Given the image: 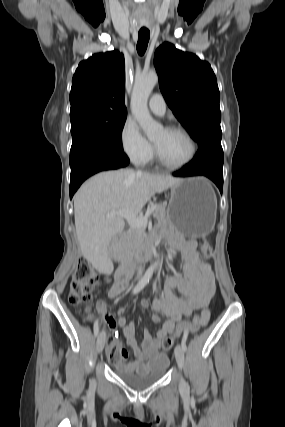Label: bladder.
I'll return each mask as SVG.
<instances>
[{
	"label": "bladder",
	"mask_w": 285,
	"mask_h": 427,
	"mask_svg": "<svg viewBox=\"0 0 285 427\" xmlns=\"http://www.w3.org/2000/svg\"><path fill=\"white\" fill-rule=\"evenodd\" d=\"M167 365L163 364L146 372H132L122 367L116 368V374L130 387L141 390L157 382L166 371Z\"/></svg>",
	"instance_id": "1"
}]
</instances>
